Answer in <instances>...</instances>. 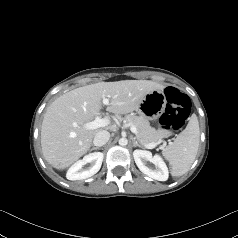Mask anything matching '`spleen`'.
I'll return each mask as SVG.
<instances>
[{
    "label": "spleen",
    "instance_id": "obj_1",
    "mask_svg": "<svg viewBox=\"0 0 238 238\" xmlns=\"http://www.w3.org/2000/svg\"><path fill=\"white\" fill-rule=\"evenodd\" d=\"M199 135L198 119L193 114L174 142L162 150V155L171 166L172 176H181L190 169L198 152Z\"/></svg>",
    "mask_w": 238,
    "mask_h": 238
}]
</instances>
